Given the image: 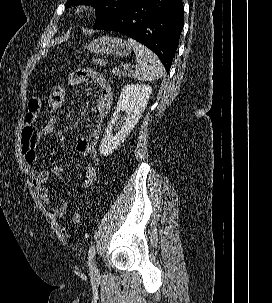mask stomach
<instances>
[{
    "mask_svg": "<svg viewBox=\"0 0 272 303\" xmlns=\"http://www.w3.org/2000/svg\"><path fill=\"white\" fill-rule=\"evenodd\" d=\"M91 53L97 55H116L124 57L130 54V45L121 38L103 36L94 39L85 46Z\"/></svg>",
    "mask_w": 272,
    "mask_h": 303,
    "instance_id": "1",
    "label": "stomach"
}]
</instances>
